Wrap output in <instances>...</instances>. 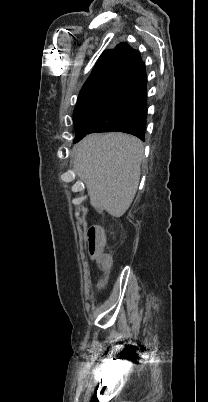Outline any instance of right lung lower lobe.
I'll list each match as a JSON object with an SVG mask.
<instances>
[{
	"label": "right lung lower lobe",
	"mask_w": 208,
	"mask_h": 402,
	"mask_svg": "<svg viewBox=\"0 0 208 402\" xmlns=\"http://www.w3.org/2000/svg\"><path fill=\"white\" fill-rule=\"evenodd\" d=\"M110 87L122 94V108L118 115L88 118L75 123L76 130L86 131L83 137L93 132L120 131L135 135L144 141L147 118L146 72L139 53Z\"/></svg>",
	"instance_id": "right-lung-lower-lobe-1"
}]
</instances>
